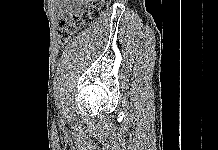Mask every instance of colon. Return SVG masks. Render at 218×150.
Segmentation results:
<instances>
[{"label":"colon","mask_w":218,"mask_h":150,"mask_svg":"<svg viewBox=\"0 0 218 150\" xmlns=\"http://www.w3.org/2000/svg\"><path fill=\"white\" fill-rule=\"evenodd\" d=\"M111 5V0H93L89 8L84 12H73L68 17L59 21L57 29L58 44L63 46L87 22L100 18Z\"/></svg>","instance_id":"obj_1"}]
</instances>
